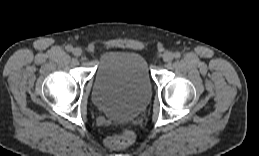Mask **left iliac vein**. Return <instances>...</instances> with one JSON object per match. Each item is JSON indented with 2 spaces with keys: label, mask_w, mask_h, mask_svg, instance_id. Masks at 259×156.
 <instances>
[{
  "label": "left iliac vein",
  "mask_w": 259,
  "mask_h": 156,
  "mask_svg": "<svg viewBox=\"0 0 259 156\" xmlns=\"http://www.w3.org/2000/svg\"><path fill=\"white\" fill-rule=\"evenodd\" d=\"M173 58H174V55L171 52H167L163 56V60L166 63L171 62L173 60Z\"/></svg>",
  "instance_id": "1"
}]
</instances>
